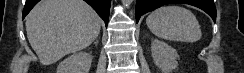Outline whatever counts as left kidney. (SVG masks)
I'll return each instance as SVG.
<instances>
[{
	"label": "left kidney",
	"mask_w": 244,
	"mask_h": 73,
	"mask_svg": "<svg viewBox=\"0 0 244 73\" xmlns=\"http://www.w3.org/2000/svg\"><path fill=\"white\" fill-rule=\"evenodd\" d=\"M151 52L154 64L163 73H171V71L176 69L179 55L173 47L163 41L153 39L151 41Z\"/></svg>",
	"instance_id": "1"
}]
</instances>
